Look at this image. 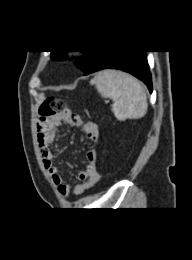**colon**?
<instances>
[{
    "instance_id": "5ec220e1",
    "label": "colon",
    "mask_w": 192,
    "mask_h": 260,
    "mask_svg": "<svg viewBox=\"0 0 192 260\" xmlns=\"http://www.w3.org/2000/svg\"><path fill=\"white\" fill-rule=\"evenodd\" d=\"M68 109L65 103L58 98H47L40 107L41 119L47 120L54 117L63 116L67 113Z\"/></svg>"
}]
</instances>
